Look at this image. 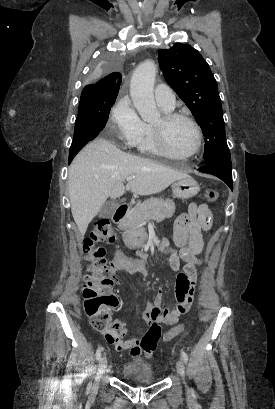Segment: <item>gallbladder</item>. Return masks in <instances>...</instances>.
I'll list each match as a JSON object with an SVG mask.
<instances>
[{
  "label": "gallbladder",
  "instance_id": "1",
  "mask_svg": "<svg viewBox=\"0 0 275 409\" xmlns=\"http://www.w3.org/2000/svg\"><path fill=\"white\" fill-rule=\"evenodd\" d=\"M118 205L119 202H117V200H107L101 207L99 217H102V219H110V217L114 215Z\"/></svg>",
  "mask_w": 275,
  "mask_h": 409
}]
</instances>
